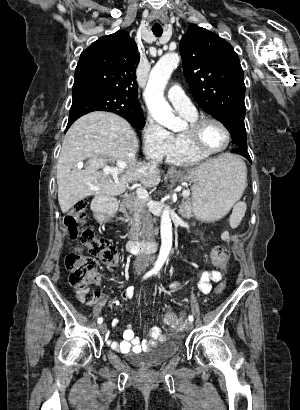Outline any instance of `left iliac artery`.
<instances>
[{
	"label": "left iliac artery",
	"mask_w": 300,
	"mask_h": 410,
	"mask_svg": "<svg viewBox=\"0 0 300 410\" xmlns=\"http://www.w3.org/2000/svg\"><path fill=\"white\" fill-rule=\"evenodd\" d=\"M188 319H189L190 322H192L194 320L192 315H189Z\"/></svg>",
	"instance_id": "1"
}]
</instances>
